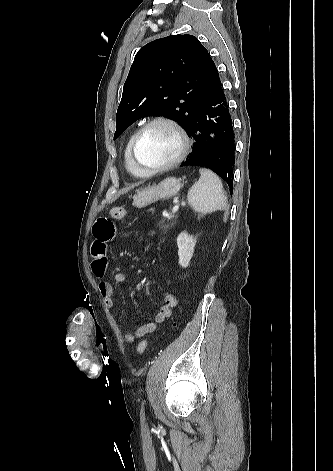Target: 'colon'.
Wrapping results in <instances>:
<instances>
[{
  "label": "colon",
  "instance_id": "colon-1",
  "mask_svg": "<svg viewBox=\"0 0 333 471\" xmlns=\"http://www.w3.org/2000/svg\"><path fill=\"white\" fill-rule=\"evenodd\" d=\"M127 214V210L126 208L122 207V206H115V207H112L110 209V216L112 218H115V219H121L123 217H125ZM147 345H148V341L147 340H143L141 341L139 344H138V347H137V352L139 354H142L145 349L147 348Z\"/></svg>",
  "mask_w": 333,
  "mask_h": 471
}]
</instances>
